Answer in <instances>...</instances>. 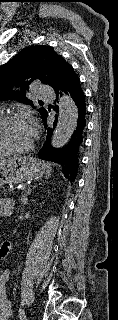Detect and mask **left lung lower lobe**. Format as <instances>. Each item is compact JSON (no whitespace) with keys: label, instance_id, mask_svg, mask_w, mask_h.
Returning <instances> with one entry per match:
<instances>
[{"label":"left lung lower lobe","instance_id":"obj_1","mask_svg":"<svg viewBox=\"0 0 118 320\" xmlns=\"http://www.w3.org/2000/svg\"><path fill=\"white\" fill-rule=\"evenodd\" d=\"M56 94L63 92L67 95H70L74 101L77 110H78V119L76 128L68 142V144L63 149L53 148L50 144L51 136L54 131V127L57 125L58 117L55 116V122L53 126L47 125V116L46 113L42 120L44 122V127L47 130L46 141L42 149L38 152V157L43 160L51 161L58 163L63 168V173L66 178L71 181H74L76 178L79 162V150L82 146L84 129L86 126V104H85V95L80 85V79L77 74L72 70L63 83L55 90ZM57 110V107L54 108Z\"/></svg>","mask_w":118,"mask_h":320}]
</instances>
